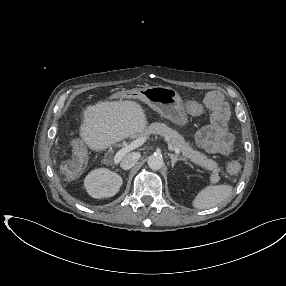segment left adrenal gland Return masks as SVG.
<instances>
[{
  "mask_svg": "<svg viewBox=\"0 0 286 286\" xmlns=\"http://www.w3.org/2000/svg\"><path fill=\"white\" fill-rule=\"evenodd\" d=\"M168 156L171 158L172 167H174V165L177 161H185L184 158L178 157L177 155H174V154H168Z\"/></svg>",
  "mask_w": 286,
  "mask_h": 286,
  "instance_id": "obj_1",
  "label": "left adrenal gland"
}]
</instances>
